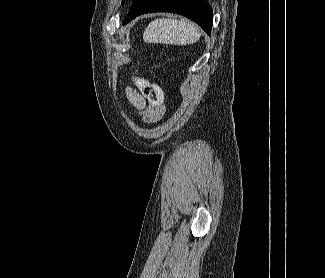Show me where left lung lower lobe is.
<instances>
[{
    "mask_svg": "<svg viewBox=\"0 0 325 278\" xmlns=\"http://www.w3.org/2000/svg\"><path fill=\"white\" fill-rule=\"evenodd\" d=\"M151 12L181 14L196 22L206 33L211 34L213 11L207 0H133L123 25L136 16Z\"/></svg>",
    "mask_w": 325,
    "mask_h": 278,
    "instance_id": "1",
    "label": "left lung lower lobe"
}]
</instances>
